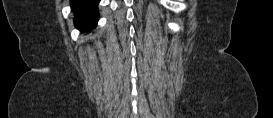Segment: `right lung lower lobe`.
I'll return each instance as SVG.
<instances>
[{
  "label": "right lung lower lobe",
  "instance_id": "98d812e1",
  "mask_svg": "<svg viewBox=\"0 0 273 118\" xmlns=\"http://www.w3.org/2000/svg\"><path fill=\"white\" fill-rule=\"evenodd\" d=\"M100 0H71V8L74 13V23L81 31L95 28L99 13L98 3Z\"/></svg>",
  "mask_w": 273,
  "mask_h": 118
}]
</instances>
